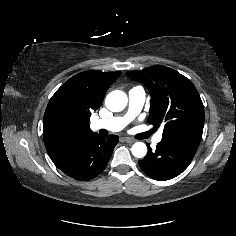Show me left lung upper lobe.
Segmentation results:
<instances>
[{"label":"left lung upper lobe","instance_id":"5c2ea615","mask_svg":"<svg viewBox=\"0 0 236 236\" xmlns=\"http://www.w3.org/2000/svg\"><path fill=\"white\" fill-rule=\"evenodd\" d=\"M126 75L148 88L151 95L148 122L157 128L164 125L162 139H201L204 107L188 78L162 65L127 72Z\"/></svg>","mask_w":236,"mask_h":236}]
</instances>
